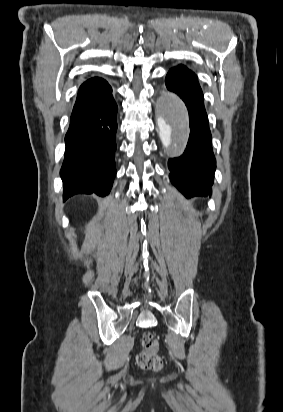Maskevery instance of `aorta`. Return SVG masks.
Instances as JSON below:
<instances>
[{"label":"aorta","instance_id":"762f6f07","mask_svg":"<svg viewBox=\"0 0 283 412\" xmlns=\"http://www.w3.org/2000/svg\"><path fill=\"white\" fill-rule=\"evenodd\" d=\"M166 108L170 112V119H158L159 136L164 147L178 146L188 132L187 110L183 101L176 96L167 100Z\"/></svg>","mask_w":283,"mask_h":412}]
</instances>
